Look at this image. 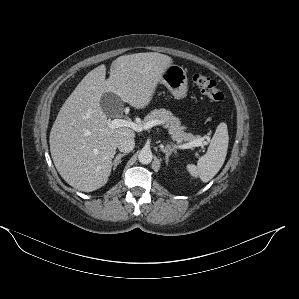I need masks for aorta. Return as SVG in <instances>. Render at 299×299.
Instances as JSON below:
<instances>
[{"label":"aorta","instance_id":"obj_1","mask_svg":"<svg viewBox=\"0 0 299 299\" xmlns=\"http://www.w3.org/2000/svg\"><path fill=\"white\" fill-rule=\"evenodd\" d=\"M152 159H153V155L150 150L142 149L139 152L138 160L141 164L147 165V164L151 163Z\"/></svg>","mask_w":299,"mask_h":299}]
</instances>
